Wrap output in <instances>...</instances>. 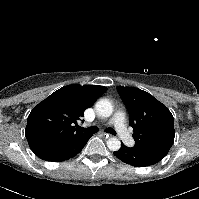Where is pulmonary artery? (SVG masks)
I'll list each match as a JSON object with an SVG mask.
<instances>
[{
  "label": "pulmonary artery",
  "instance_id": "e3ab8cb5",
  "mask_svg": "<svg viewBox=\"0 0 199 199\" xmlns=\"http://www.w3.org/2000/svg\"><path fill=\"white\" fill-rule=\"evenodd\" d=\"M110 123L115 126L118 136L126 145L128 146L135 145V140L126 126V116L123 111L115 112Z\"/></svg>",
  "mask_w": 199,
  "mask_h": 199
}]
</instances>
